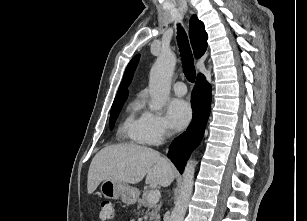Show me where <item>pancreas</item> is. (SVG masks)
<instances>
[{
    "instance_id": "pancreas-1",
    "label": "pancreas",
    "mask_w": 307,
    "mask_h": 221,
    "mask_svg": "<svg viewBox=\"0 0 307 221\" xmlns=\"http://www.w3.org/2000/svg\"><path fill=\"white\" fill-rule=\"evenodd\" d=\"M150 192V190L143 191L142 197L138 200L137 209L140 210L142 207H146L150 220L160 221V214L158 213L160 205L152 204L148 201V195Z\"/></svg>"
}]
</instances>
